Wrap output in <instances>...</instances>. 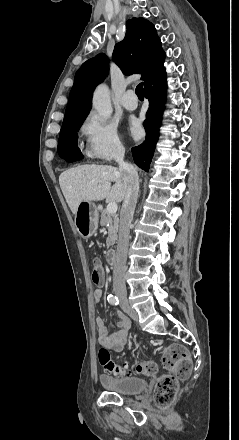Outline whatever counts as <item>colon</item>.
I'll return each instance as SVG.
<instances>
[{
	"label": "colon",
	"mask_w": 239,
	"mask_h": 440,
	"mask_svg": "<svg viewBox=\"0 0 239 440\" xmlns=\"http://www.w3.org/2000/svg\"><path fill=\"white\" fill-rule=\"evenodd\" d=\"M92 281L96 285H102L105 281L103 266L98 259L93 260ZM98 358L102 367L114 376L122 377L130 373L125 365L115 363L106 349L99 350ZM163 364L167 373L157 381L155 398L160 408H167L175 399L178 380L188 376L191 371V359L184 347L173 345L165 350ZM135 372L153 375L157 372V364L152 360H143L136 365Z\"/></svg>",
	"instance_id": "obj_1"
}]
</instances>
